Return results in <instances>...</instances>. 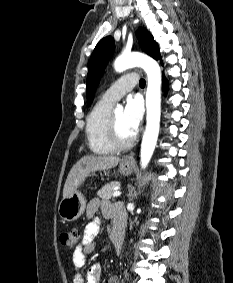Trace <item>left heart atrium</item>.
<instances>
[{
  "mask_svg": "<svg viewBox=\"0 0 233 283\" xmlns=\"http://www.w3.org/2000/svg\"><path fill=\"white\" fill-rule=\"evenodd\" d=\"M144 108L139 97H130L127 99L124 109V118L129 130L135 134L143 118Z\"/></svg>",
  "mask_w": 233,
  "mask_h": 283,
  "instance_id": "39dd6f15",
  "label": "left heart atrium"
}]
</instances>
